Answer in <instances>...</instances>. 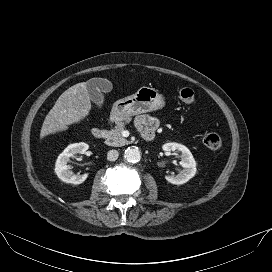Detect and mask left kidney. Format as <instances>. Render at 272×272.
Segmentation results:
<instances>
[{
    "label": "left kidney",
    "mask_w": 272,
    "mask_h": 272,
    "mask_svg": "<svg viewBox=\"0 0 272 272\" xmlns=\"http://www.w3.org/2000/svg\"><path fill=\"white\" fill-rule=\"evenodd\" d=\"M162 149L164 151H179L181 161L179 164L183 167V170L178 175H167L165 179L171 184L181 185L189 181L196 174V161L190 152V150L178 143H166L163 145Z\"/></svg>",
    "instance_id": "5707ae66"
}]
</instances>
